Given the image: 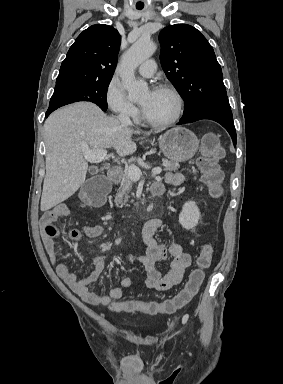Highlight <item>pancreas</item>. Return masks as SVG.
Wrapping results in <instances>:
<instances>
[{"label": "pancreas", "mask_w": 283, "mask_h": 384, "mask_svg": "<svg viewBox=\"0 0 283 384\" xmlns=\"http://www.w3.org/2000/svg\"><path fill=\"white\" fill-rule=\"evenodd\" d=\"M165 172H176L179 166L178 164H174V162H168V160H162ZM115 176H118L119 180H121V186L118 190V194L115 196L116 206L118 208H122V206H127L126 202H128V196L130 192V188L132 186V180H130L129 176H127V172H123L122 168H116V170H109L108 178L109 180H113ZM121 204V206H119Z\"/></svg>", "instance_id": "pancreas-1"}]
</instances>
